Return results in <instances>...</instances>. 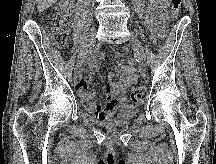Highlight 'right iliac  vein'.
Masks as SVG:
<instances>
[{
  "label": "right iliac vein",
  "mask_w": 216,
  "mask_h": 164,
  "mask_svg": "<svg viewBox=\"0 0 216 164\" xmlns=\"http://www.w3.org/2000/svg\"><path fill=\"white\" fill-rule=\"evenodd\" d=\"M94 36H95V30L92 29L89 32V34L87 35V37L85 38V41H84L83 46L81 48V52H80L79 57H78V63H77V66H76V72L82 70V67L84 65V61L86 59V55H87V52H88V48L93 43Z\"/></svg>",
  "instance_id": "1"
}]
</instances>
